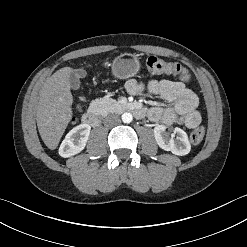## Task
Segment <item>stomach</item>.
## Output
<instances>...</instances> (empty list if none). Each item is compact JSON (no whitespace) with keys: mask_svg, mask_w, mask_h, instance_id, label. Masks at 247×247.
<instances>
[{"mask_svg":"<svg viewBox=\"0 0 247 247\" xmlns=\"http://www.w3.org/2000/svg\"><path fill=\"white\" fill-rule=\"evenodd\" d=\"M112 73L116 78L128 79L135 76L139 69V61L130 54H123L113 60L111 65Z\"/></svg>","mask_w":247,"mask_h":247,"instance_id":"0dacf381","label":"stomach"}]
</instances>
